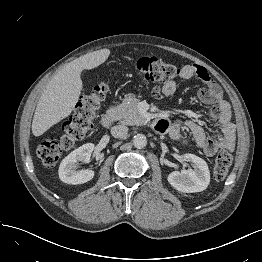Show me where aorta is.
<instances>
[{"instance_id": "762f6f07", "label": "aorta", "mask_w": 262, "mask_h": 262, "mask_svg": "<svg viewBox=\"0 0 262 262\" xmlns=\"http://www.w3.org/2000/svg\"><path fill=\"white\" fill-rule=\"evenodd\" d=\"M147 144V138L145 135L143 134H136L133 137V145L137 148V149H142L146 146Z\"/></svg>"}]
</instances>
